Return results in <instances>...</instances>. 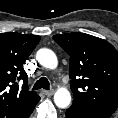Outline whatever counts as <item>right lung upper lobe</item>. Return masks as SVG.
Masks as SVG:
<instances>
[{
	"instance_id": "obj_1",
	"label": "right lung upper lobe",
	"mask_w": 118,
	"mask_h": 118,
	"mask_svg": "<svg viewBox=\"0 0 118 118\" xmlns=\"http://www.w3.org/2000/svg\"><path fill=\"white\" fill-rule=\"evenodd\" d=\"M40 36L15 32L0 34V118H28L40 100L27 86L23 64ZM23 80L19 86L17 81Z\"/></svg>"
}]
</instances>
